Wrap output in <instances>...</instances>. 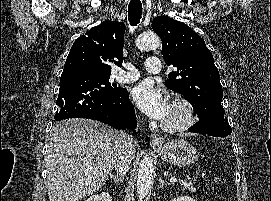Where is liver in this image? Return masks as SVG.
Segmentation results:
<instances>
[{
  "label": "liver",
  "mask_w": 271,
  "mask_h": 201,
  "mask_svg": "<svg viewBox=\"0 0 271 201\" xmlns=\"http://www.w3.org/2000/svg\"><path fill=\"white\" fill-rule=\"evenodd\" d=\"M118 148L116 131L100 122L56 123L46 161L49 201H78L98 191L111 174Z\"/></svg>",
  "instance_id": "obj_1"
}]
</instances>
